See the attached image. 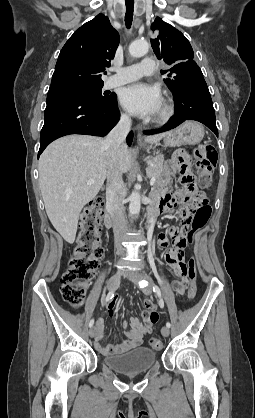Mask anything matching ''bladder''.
<instances>
[{
	"label": "bladder",
	"instance_id": "1",
	"mask_svg": "<svg viewBox=\"0 0 255 418\" xmlns=\"http://www.w3.org/2000/svg\"><path fill=\"white\" fill-rule=\"evenodd\" d=\"M156 360V351L144 346L103 358L104 363L108 367L125 374L146 371L155 364Z\"/></svg>",
	"mask_w": 255,
	"mask_h": 418
}]
</instances>
